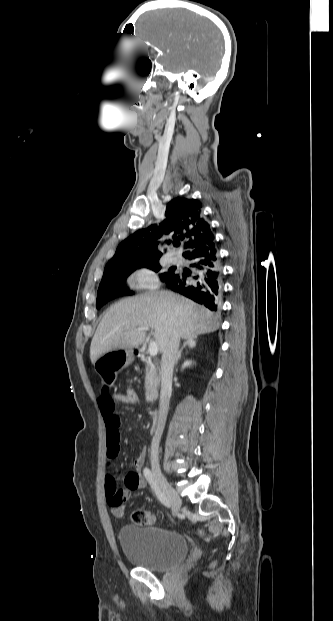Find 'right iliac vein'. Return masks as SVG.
Segmentation results:
<instances>
[{"label":"right iliac vein","instance_id":"1","mask_svg":"<svg viewBox=\"0 0 333 621\" xmlns=\"http://www.w3.org/2000/svg\"><path fill=\"white\" fill-rule=\"evenodd\" d=\"M153 472H154V476H155L157 483L164 490L169 501L171 502L173 506L174 511L177 513L180 510L181 505H182L181 498L179 497L175 489L170 485V483L168 482L166 477L163 475L162 471L160 470L158 466L153 467Z\"/></svg>","mask_w":333,"mask_h":621}]
</instances>
